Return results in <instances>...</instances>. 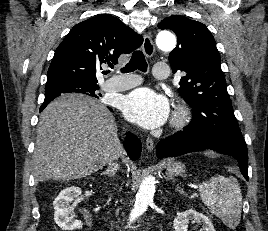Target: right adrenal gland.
<instances>
[{
  "mask_svg": "<svg viewBox=\"0 0 268 231\" xmlns=\"http://www.w3.org/2000/svg\"><path fill=\"white\" fill-rule=\"evenodd\" d=\"M118 170V164H111L107 170L100 173V175H107L110 178H114Z\"/></svg>",
  "mask_w": 268,
  "mask_h": 231,
  "instance_id": "1",
  "label": "right adrenal gland"
}]
</instances>
